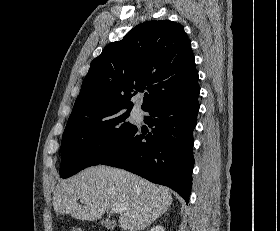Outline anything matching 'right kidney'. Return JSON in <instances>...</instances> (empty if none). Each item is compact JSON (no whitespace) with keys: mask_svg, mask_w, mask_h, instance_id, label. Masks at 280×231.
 Masks as SVG:
<instances>
[{"mask_svg":"<svg viewBox=\"0 0 280 231\" xmlns=\"http://www.w3.org/2000/svg\"><path fill=\"white\" fill-rule=\"evenodd\" d=\"M149 231H165L163 225H154V227H151Z\"/></svg>","mask_w":280,"mask_h":231,"instance_id":"obj_1","label":"right kidney"}]
</instances>
